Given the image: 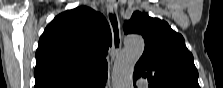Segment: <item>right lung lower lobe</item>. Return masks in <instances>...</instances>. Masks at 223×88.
I'll return each instance as SVG.
<instances>
[{
    "label": "right lung lower lobe",
    "instance_id": "1",
    "mask_svg": "<svg viewBox=\"0 0 223 88\" xmlns=\"http://www.w3.org/2000/svg\"><path fill=\"white\" fill-rule=\"evenodd\" d=\"M107 78V77H106ZM106 78H104L103 80L101 81H98L96 82L95 86L92 87V88H103L104 84H105V81H106Z\"/></svg>",
    "mask_w": 223,
    "mask_h": 88
}]
</instances>
